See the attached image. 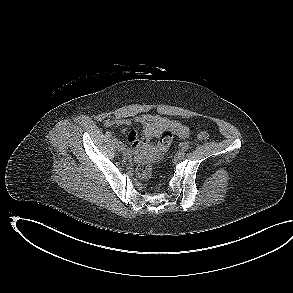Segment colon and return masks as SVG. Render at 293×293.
Here are the masks:
<instances>
[{
    "label": "colon",
    "mask_w": 293,
    "mask_h": 293,
    "mask_svg": "<svg viewBox=\"0 0 293 293\" xmlns=\"http://www.w3.org/2000/svg\"><path fill=\"white\" fill-rule=\"evenodd\" d=\"M172 134L173 133L170 131H164L160 134L159 142L157 145V150L159 153L163 154L169 149L173 138ZM196 137L199 141L205 142L208 140L209 135L207 132L201 131L197 133ZM137 173L141 179H149L152 175L151 165L148 162H142L137 168Z\"/></svg>",
    "instance_id": "5ec220e1"
}]
</instances>
